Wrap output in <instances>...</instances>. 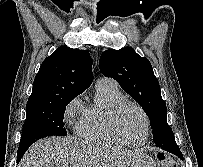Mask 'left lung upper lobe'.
<instances>
[{
    "mask_svg": "<svg viewBox=\"0 0 203 167\" xmlns=\"http://www.w3.org/2000/svg\"><path fill=\"white\" fill-rule=\"evenodd\" d=\"M99 67L104 76L115 79L142 106L150 119L155 143L164 138L174 139L167 123V108L161 97L159 82L147 58L129 47L109 49L102 53Z\"/></svg>",
    "mask_w": 203,
    "mask_h": 167,
    "instance_id": "obj_1",
    "label": "left lung upper lobe"
}]
</instances>
